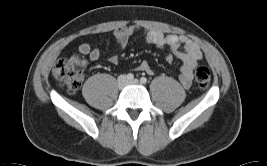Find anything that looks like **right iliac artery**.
<instances>
[{
    "mask_svg": "<svg viewBox=\"0 0 267 166\" xmlns=\"http://www.w3.org/2000/svg\"><path fill=\"white\" fill-rule=\"evenodd\" d=\"M134 78V75L132 73H129L127 75V79L132 80Z\"/></svg>",
    "mask_w": 267,
    "mask_h": 166,
    "instance_id": "1",
    "label": "right iliac artery"
}]
</instances>
